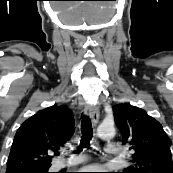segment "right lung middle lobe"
<instances>
[{
	"label": "right lung middle lobe",
	"instance_id": "obj_1",
	"mask_svg": "<svg viewBox=\"0 0 173 173\" xmlns=\"http://www.w3.org/2000/svg\"><path fill=\"white\" fill-rule=\"evenodd\" d=\"M36 172H40V173H49V172H48V169L37 170Z\"/></svg>",
	"mask_w": 173,
	"mask_h": 173
}]
</instances>
